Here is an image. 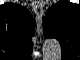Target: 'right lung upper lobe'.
I'll return each instance as SVG.
<instances>
[{"instance_id": "obj_1", "label": "right lung upper lobe", "mask_w": 80, "mask_h": 60, "mask_svg": "<svg viewBox=\"0 0 80 60\" xmlns=\"http://www.w3.org/2000/svg\"><path fill=\"white\" fill-rule=\"evenodd\" d=\"M34 30L33 17L25 7L12 3L0 6V48L8 55L28 57Z\"/></svg>"}]
</instances>
